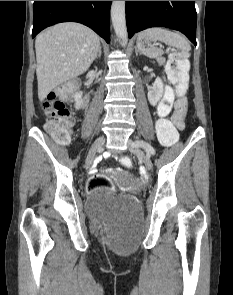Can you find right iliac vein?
Instances as JSON below:
<instances>
[{
    "label": "right iliac vein",
    "mask_w": 233,
    "mask_h": 295,
    "mask_svg": "<svg viewBox=\"0 0 233 295\" xmlns=\"http://www.w3.org/2000/svg\"><path fill=\"white\" fill-rule=\"evenodd\" d=\"M104 143H105V138L103 136L99 137L94 142L86 158V167H89L92 164L93 160L95 159L96 155L102 152Z\"/></svg>",
    "instance_id": "1"
}]
</instances>
